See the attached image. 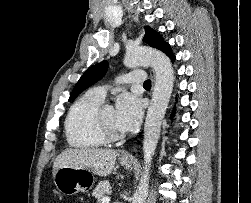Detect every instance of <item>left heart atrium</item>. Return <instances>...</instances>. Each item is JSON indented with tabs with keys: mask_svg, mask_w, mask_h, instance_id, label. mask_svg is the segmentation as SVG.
Here are the masks:
<instances>
[{
	"mask_svg": "<svg viewBox=\"0 0 251 203\" xmlns=\"http://www.w3.org/2000/svg\"><path fill=\"white\" fill-rule=\"evenodd\" d=\"M116 126L121 132H130L138 128L143 116L140 99L131 94L123 93L116 101Z\"/></svg>",
	"mask_w": 251,
	"mask_h": 203,
	"instance_id": "39dd6f15",
	"label": "left heart atrium"
}]
</instances>
